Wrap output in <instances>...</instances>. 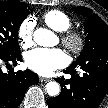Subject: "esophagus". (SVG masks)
<instances>
[{
	"label": "esophagus",
	"instance_id": "34e87169",
	"mask_svg": "<svg viewBox=\"0 0 108 108\" xmlns=\"http://www.w3.org/2000/svg\"><path fill=\"white\" fill-rule=\"evenodd\" d=\"M40 82H48L50 81L49 78L39 77Z\"/></svg>",
	"mask_w": 108,
	"mask_h": 108
}]
</instances>
